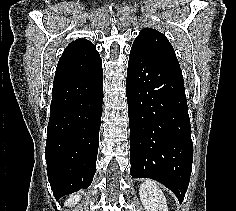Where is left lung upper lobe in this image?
Returning <instances> with one entry per match:
<instances>
[{"label":"left lung upper lobe","instance_id":"obj_1","mask_svg":"<svg viewBox=\"0 0 236 211\" xmlns=\"http://www.w3.org/2000/svg\"><path fill=\"white\" fill-rule=\"evenodd\" d=\"M131 51L180 67L175 51L166 36L154 29H142L134 40Z\"/></svg>","mask_w":236,"mask_h":211}]
</instances>
